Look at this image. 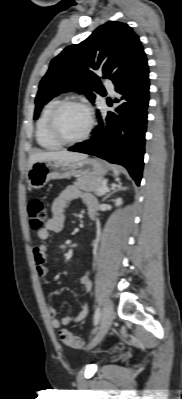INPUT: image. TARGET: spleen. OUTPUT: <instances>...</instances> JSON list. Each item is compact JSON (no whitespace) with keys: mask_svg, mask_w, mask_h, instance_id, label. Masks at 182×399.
<instances>
[{"mask_svg":"<svg viewBox=\"0 0 182 399\" xmlns=\"http://www.w3.org/2000/svg\"><path fill=\"white\" fill-rule=\"evenodd\" d=\"M112 168H113L114 175L118 176L120 174V170L118 169V167L112 166Z\"/></svg>","mask_w":182,"mask_h":399,"instance_id":"spleen-1","label":"spleen"}]
</instances>
